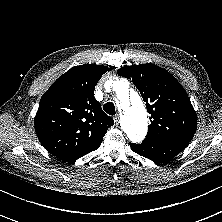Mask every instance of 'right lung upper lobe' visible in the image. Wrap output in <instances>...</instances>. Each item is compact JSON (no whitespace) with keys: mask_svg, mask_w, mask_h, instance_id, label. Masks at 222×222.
<instances>
[{"mask_svg":"<svg viewBox=\"0 0 222 222\" xmlns=\"http://www.w3.org/2000/svg\"><path fill=\"white\" fill-rule=\"evenodd\" d=\"M103 65L75 66L60 76L44 93L35 117L39 141L55 157L69 162L99 148L114 124L94 97Z\"/></svg>","mask_w":222,"mask_h":222,"instance_id":"obj_1","label":"right lung upper lobe"}]
</instances>
